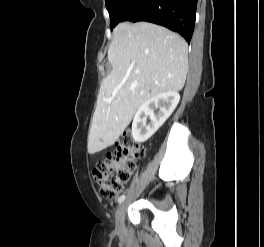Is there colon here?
I'll return each instance as SVG.
<instances>
[{
	"label": "colon",
	"instance_id": "colon-1",
	"mask_svg": "<svg viewBox=\"0 0 264 247\" xmlns=\"http://www.w3.org/2000/svg\"><path fill=\"white\" fill-rule=\"evenodd\" d=\"M143 155L144 149L133 140L130 133L125 132L118 139L115 150L96 163L92 174L104 199L114 200L118 197L130 179L136 161Z\"/></svg>",
	"mask_w": 264,
	"mask_h": 247
}]
</instances>
